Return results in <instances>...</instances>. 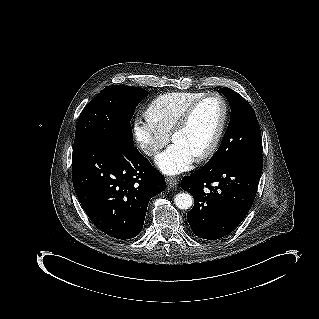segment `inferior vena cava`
Wrapping results in <instances>:
<instances>
[{"label": "inferior vena cava", "mask_w": 319, "mask_h": 319, "mask_svg": "<svg viewBox=\"0 0 319 319\" xmlns=\"http://www.w3.org/2000/svg\"><path fill=\"white\" fill-rule=\"evenodd\" d=\"M142 150L146 155L152 156V155L156 154L159 149L154 145L144 144L142 147Z\"/></svg>", "instance_id": "inferior-vena-cava-1"}]
</instances>
